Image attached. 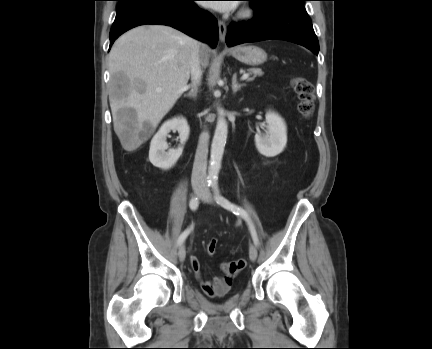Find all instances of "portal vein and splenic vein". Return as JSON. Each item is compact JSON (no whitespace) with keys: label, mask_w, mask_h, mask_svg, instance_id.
Segmentation results:
<instances>
[{"label":"portal vein and splenic vein","mask_w":432,"mask_h":349,"mask_svg":"<svg viewBox=\"0 0 432 349\" xmlns=\"http://www.w3.org/2000/svg\"><path fill=\"white\" fill-rule=\"evenodd\" d=\"M249 76H250V75H249L248 73L243 74L242 77H241V80H246V79L249 78Z\"/></svg>","instance_id":"obj_1"}]
</instances>
